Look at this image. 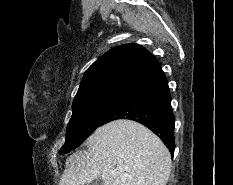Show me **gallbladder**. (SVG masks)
Instances as JSON below:
<instances>
[{"mask_svg":"<svg viewBox=\"0 0 233 185\" xmlns=\"http://www.w3.org/2000/svg\"><path fill=\"white\" fill-rule=\"evenodd\" d=\"M89 185H103V181L101 178H97L96 180L92 181Z\"/></svg>","mask_w":233,"mask_h":185,"instance_id":"bac80fb5","label":"gallbladder"}]
</instances>
